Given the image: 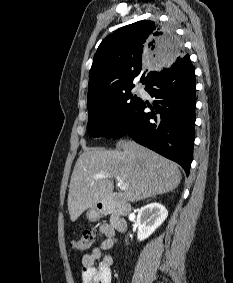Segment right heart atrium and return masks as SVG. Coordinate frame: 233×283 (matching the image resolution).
<instances>
[{"label": "right heart atrium", "mask_w": 233, "mask_h": 283, "mask_svg": "<svg viewBox=\"0 0 233 283\" xmlns=\"http://www.w3.org/2000/svg\"><path fill=\"white\" fill-rule=\"evenodd\" d=\"M111 120H114V117H113V116H111Z\"/></svg>", "instance_id": "obj_1"}]
</instances>
